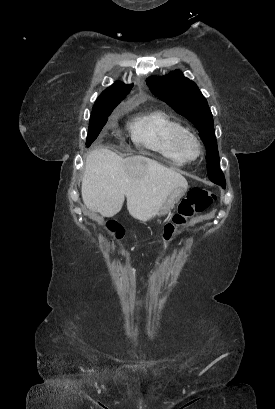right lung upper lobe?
<instances>
[{"instance_id": "right-lung-upper-lobe-1", "label": "right lung upper lobe", "mask_w": 275, "mask_h": 409, "mask_svg": "<svg viewBox=\"0 0 275 409\" xmlns=\"http://www.w3.org/2000/svg\"><path fill=\"white\" fill-rule=\"evenodd\" d=\"M131 87L132 85H126L120 81L115 82L100 94L92 111L96 112L105 109H114L130 92Z\"/></svg>"}]
</instances>
